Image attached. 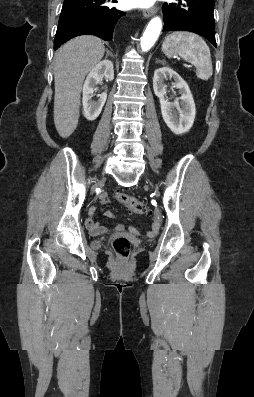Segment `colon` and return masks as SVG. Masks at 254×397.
Instances as JSON below:
<instances>
[{"label": "colon", "instance_id": "obj_1", "mask_svg": "<svg viewBox=\"0 0 254 397\" xmlns=\"http://www.w3.org/2000/svg\"><path fill=\"white\" fill-rule=\"evenodd\" d=\"M116 197L130 212L139 215L150 214V208L145 201L126 193H118ZM112 247L119 257L126 258L130 253L131 243L127 237L117 235L112 239Z\"/></svg>", "mask_w": 254, "mask_h": 397}]
</instances>
